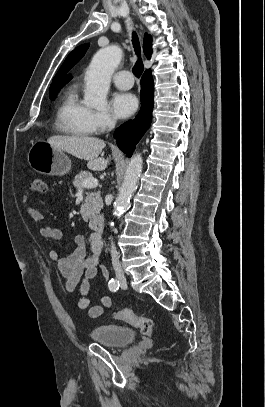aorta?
Returning a JSON list of instances; mask_svg holds the SVG:
<instances>
[{
	"mask_svg": "<svg viewBox=\"0 0 265 407\" xmlns=\"http://www.w3.org/2000/svg\"><path fill=\"white\" fill-rule=\"evenodd\" d=\"M122 58V51L117 45L100 49L92 58L85 73L84 104L92 108H104L110 80ZM143 160L140 154L132 156L124 176L123 184L114 206V215L124 212L130 205V199L136 191L142 172Z\"/></svg>",
	"mask_w": 265,
	"mask_h": 407,
	"instance_id": "1",
	"label": "aorta"
}]
</instances>
